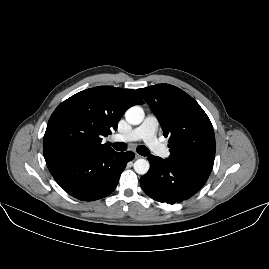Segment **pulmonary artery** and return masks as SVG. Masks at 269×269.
Wrapping results in <instances>:
<instances>
[{"instance_id":"e3ab8cb5","label":"pulmonary artery","mask_w":269,"mask_h":269,"mask_svg":"<svg viewBox=\"0 0 269 269\" xmlns=\"http://www.w3.org/2000/svg\"><path fill=\"white\" fill-rule=\"evenodd\" d=\"M159 122L155 115L149 114L142 124L126 134H118L113 137L118 142H136L143 141L158 157L167 155V148L160 144L157 139Z\"/></svg>"}]
</instances>
